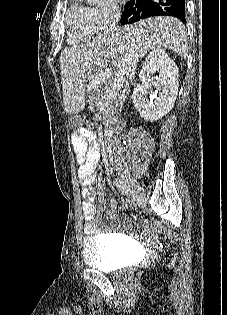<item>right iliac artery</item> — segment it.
I'll return each mask as SVG.
<instances>
[{
    "label": "right iliac artery",
    "instance_id": "82829eb1",
    "mask_svg": "<svg viewBox=\"0 0 227 315\" xmlns=\"http://www.w3.org/2000/svg\"><path fill=\"white\" fill-rule=\"evenodd\" d=\"M114 185L122 190H124L125 192H131L130 186L127 185L123 180L119 179V178H115L114 180Z\"/></svg>",
    "mask_w": 227,
    "mask_h": 315
}]
</instances>
